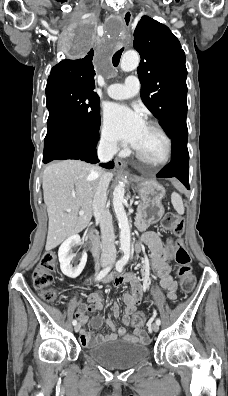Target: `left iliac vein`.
<instances>
[{
    "label": "left iliac vein",
    "instance_id": "left-iliac-vein-1",
    "mask_svg": "<svg viewBox=\"0 0 228 396\" xmlns=\"http://www.w3.org/2000/svg\"><path fill=\"white\" fill-rule=\"evenodd\" d=\"M152 330H153L154 332H158V330H159V325L156 324V323H153V324H152Z\"/></svg>",
    "mask_w": 228,
    "mask_h": 396
}]
</instances>
